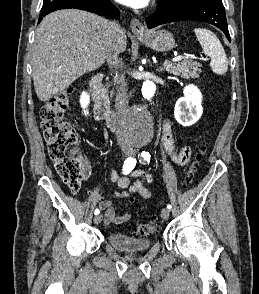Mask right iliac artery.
<instances>
[{
  "mask_svg": "<svg viewBox=\"0 0 259 294\" xmlns=\"http://www.w3.org/2000/svg\"><path fill=\"white\" fill-rule=\"evenodd\" d=\"M136 165V159L133 157H128L123 164V174H129ZM100 213L99 209H95L94 214L98 215Z\"/></svg>",
  "mask_w": 259,
  "mask_h": 294,
  "instance_id": "obj_1",
  "label": "right iliac artery"
}]
</instances>
